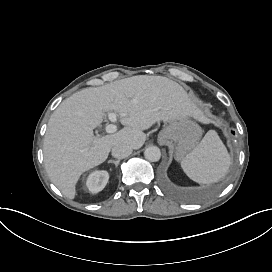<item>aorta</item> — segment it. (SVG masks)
<instances>
[{
  "label": "aorta",
  "mask_w": 272,
  "mask_h": 272,
  "mask_svg": "<svg viewBox=\"0 0 272 272\" xmlns=\"http://www.w3.org/2000/svg\"><path fill=\"white\" fill-rule=\"evenodd\" d=\"M144 156L150 162H157L161 157V151L158 147L151 146L145 150Z\"/></svg>",
  "instance_id": "obj_1"
}]
</instances>
